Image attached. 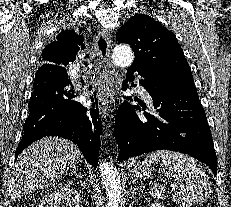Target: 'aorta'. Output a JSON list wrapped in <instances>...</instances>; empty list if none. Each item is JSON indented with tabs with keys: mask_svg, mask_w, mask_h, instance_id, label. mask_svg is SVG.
Wrapping results in <instances>:
<instances>
[{
	"mask_svg": "<svg viewBox=\"0 0 231 207\" xmlns=\"http://www.w3.org/2000/svg\"><path fill=\"white\" fill-rule=\"evenodd\" d=\"M114 63L121 68L131 66L134 54L128 45H117L112 53ZM102 185L106 191V207H118L121 201V180L113 164L103 161L99 165Z\"/></svg>",
	"mask_w": 231,
	"mask_h": 207,
	"instance_id": "aorta-1",
	"label": "aorta"
}]
</instances>
